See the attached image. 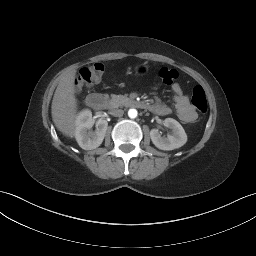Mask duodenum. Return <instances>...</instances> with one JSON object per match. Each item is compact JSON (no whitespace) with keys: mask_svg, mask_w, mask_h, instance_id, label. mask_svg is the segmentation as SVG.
<instances>
[{"mask_svg":"<svg viewBox=\"0 0 256 256\" xmlns=\"http://www.w3.org/2000/svg\"><path fill=\"white\" fill-rule=\"evenodd\" d=\"M106 102V98L98 93H90L87 96V104L93 110L103 109L106 105ZM131 104L137 108H150V106L143 101L133 100Z\"/></svg>","mask_w":256,"mask_h":256,"instance_id":"1","label":"duodenum"}]
</instances>
